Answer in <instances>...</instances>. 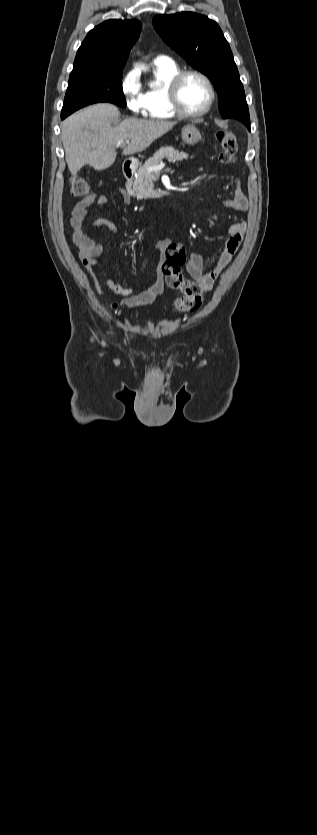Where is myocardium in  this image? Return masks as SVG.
<instances>
[{"instance_id":"f54148a6","label":"myocardium","mask_w":317,"mask_h":835,"mask_svg":"<svg viewBox=\"0 0 317 835\" xmlns=\"http://www.w3.org/2000/svg\"><path fill=\"white\" fill-rule=\"evenodd\" d=\"M191 75H195V76H198L199 78H201L206 83V85L208 87V90H209V94H210L209 100H208L205 108L202 109L201 111L195 112V113H191V112L186 111L184 109V107L182 106V103H181V100H180V90H181V86L183 84V81L186 79V77L191 76ZM168 96H169L171 106H172L173 110L175 111V113L178 116L183 117V118L192 119V118L202 117V116L206 115L211 110V108H212V106L215 102L216 91H215V87H214V84H213L212 80L205 73H203L202 71H199L197 69H186V70H181L179 73H177L171 79V81L169 83V86H168Z\"/></svg>"}]
</instances>
